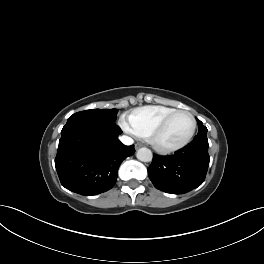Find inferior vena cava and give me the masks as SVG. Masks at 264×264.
I'll use <instances>...</instances> for the list:
<instances>
[{
  "instance_id": "obj_1",
  "label": "inferior vena cava",
  "mask_w": 264,
  "mask_h": 264,
  "mask_svg": "<svg viewBox=\"0 0 264 264\" xmlns=\"http://www.w3.org/2000/svg\"><path fill=\"white\" fill-rule=\"evenodd\" d=\"M119 140L124 144V145H132L134 143L133 139L129 136L123 135L119 137Z\"/></svg>"
}]
</instances>
